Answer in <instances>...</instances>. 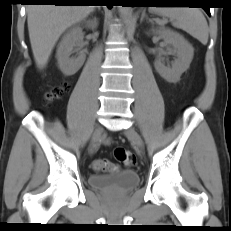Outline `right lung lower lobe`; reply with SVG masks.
Instances as JSON below:
<instances>
[{
	"instance_id": "obj_1",
	"label": "right lung lower lobe",
	"mask_w": 231,
	"mask_h": 231,
	"mask_svg": "<svg viewBox=\"0 0 231 231\" xmlns=\"http://www.w3.org/2000/svg\"><path fill=\"white\" fill-rule=\"evenodd\" d=\"M27 3H51L54 5H77L76 2L71 1H77V0H24ZM109 8H111L110 5H107Z\"/></svg>"
}]
</instances>
